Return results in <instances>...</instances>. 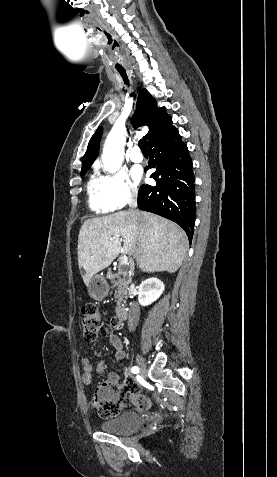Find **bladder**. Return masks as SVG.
<instances>
[{"instance_id": "31cf9c89", "label": "bladder", "mask_w": 277, "mask_h": 477, "mask_svg": "<svg viewBox=\"0 0 277 477\" xmlns=\"http://www.w3.org/2000/svg\"><path fill=\"white\" fill-rule=\"evenodd\" d=\"M142 425V418L135 411H124L114 418L100 424L102 431L110 434H127L138 430Z\"/></svg>"}]
</instances>
